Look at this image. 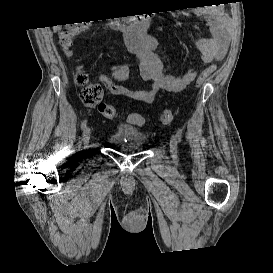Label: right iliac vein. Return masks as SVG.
Instances as JSON below:
<instances>
[{"instance_id":"right-iliac-vein-1","label":"right iliac vein","mask_w":273,"mask_h":273,"mask_svg":"<svg viewBox=\"0 0 273 273\" xmlns=\"http://www.w3.org/2000/svg\"><path fill=\"white\" fill-rule=\"evenodd\" d=\"M91 136V130L89 127H86L83 131V141L84 144H88Z\"/></svg>"}]
</instances>
